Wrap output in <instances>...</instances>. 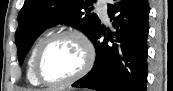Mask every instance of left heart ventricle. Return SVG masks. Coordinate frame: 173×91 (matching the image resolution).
Instances as JSON below:
<instances>
[{
  "label": "left heart ventricle",
  "instance_id": "obj_1",
  "mask_svg": "<svg viewBox=\"0 0 173 91\" xmlns=\"http://www.w3.org/2000/svg\"><path fill=\"white\" fill-rule=\"evenodd\" d=\"M84 63V51L80 43L71 37L53 41L45 50L40 71L44 79L59 82L80 70Z\"/></svg>",
  "mask_w": 173,
  "mask_h": 91
}]
</instances>
